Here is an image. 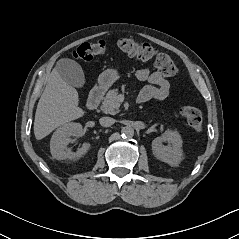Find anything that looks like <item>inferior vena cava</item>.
Segmentation results:
<instances>
[{
    "mask_svg": "<svg viewBox=\"0 0 239 239\" xmlns=\"http://www.w3.org/2000/svg\"><path fill=\"white\" fill-rule=\"evenodd\" d=\"M99 122H100L101 126L109 127L115 123V119L106 116V117L100 118Z\"/></svg>",
    "mask_w": 239,
    "mask_h": 239,
    "instance_id": "inferior-vena-cava-1",
    "label": "inferior vena cava"
}]
</instances>
